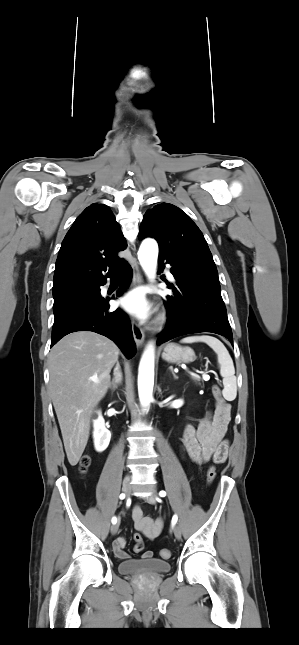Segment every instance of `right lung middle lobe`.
I'll return each mask as SVG.
<instances>
[{
    "instance_id": "dd1d6c3e",
    "label": "right lung middle lobe",
    "mask_w": 299,
    "mask_h": 645,
    "mask_svg": "<svg viewBox=\"0 0 299 645\" xmlns=\"http://www.w3.org/2000/svg\"><path fill=\"white\" fill-rule=\"evenodd\" d=\"M98 297L97 284H75L53 291L55 318L69 309Z\"/></svg>"
}]
</instances>
